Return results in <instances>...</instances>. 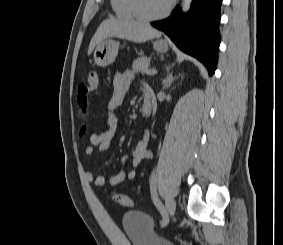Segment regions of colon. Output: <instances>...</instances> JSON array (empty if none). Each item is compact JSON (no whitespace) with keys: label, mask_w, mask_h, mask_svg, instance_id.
<instances>
[{"label":"colon","mask_w":283,"mask_h":245,"mask_svg":"<svg viewBox=\"0 0 283 245\" xmlns=\"http://www.w3.org/2000/svg\"><path fill=\"white\" fill-rule=\"evenodd\" d=\"M99 83L97 72L91 71L85 83L79 86L78 103L81 109V114L86 115L93 103V96ZM86 132V127L82 128V133ZM113 199L124 207H133L132 199L121 193H113Z\"/></svg>","instance_id":"obj_1"}]
</instances>
